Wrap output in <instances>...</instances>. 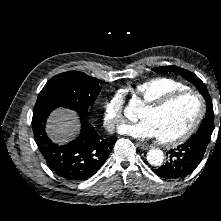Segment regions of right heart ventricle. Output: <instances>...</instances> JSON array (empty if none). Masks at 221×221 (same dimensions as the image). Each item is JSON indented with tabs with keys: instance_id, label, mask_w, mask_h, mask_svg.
Segmentation results:
<instances>
[{
	"instance_id": "e07e8e85",
	"label": "right heart ventricle",
	"mask_w": 221,
	"mask_h": 221,
	"mask_svg": "<svg viewBox=\"0 0 221 221\" xmlns=\"http://www.w3.org/2000/svg\"><path fill=\"white\" fill-rule=\"evenodd\" d=\"M180 81L170 77H155L142 81L131 88L132 95L144 104L153 102L172 91L187 89Z\"/></svg>"
}]
</instances>
